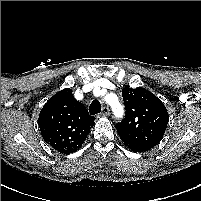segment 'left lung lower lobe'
I'll return each instance as SVG.
<instances>
[{
    "label": "left lung lower lobe",
    "mask_w": 201,
    "mask_h": 201,
    "mask_svg": "<svg viewBox=\"0 0 201 201\" xmlns=\"http://www.w3.org/2000/svg\"><path fill=\"white\" fill-rule=\"evenodd\" d=\"M131 149V148H130ZM132 151H135V152H143V151H139V150H134V149H131Z\"/></svg>",
    "instance_id": "left-lung-lower-lobe-1"
}]
</instances>
